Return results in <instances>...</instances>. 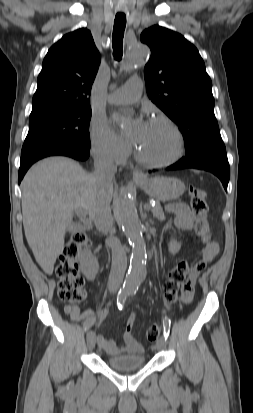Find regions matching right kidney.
I'll return each mask as SVG.
<instances>
[{
  "label": "right kidney",
  "mask_w": 253,
  "mask_h": 413,
  "mask_svg": "<svg viewBox=\"0 0 253 413\" xmlns=\"http://www.w3.org/2000/svg\"><path fill=\"white\" fill-rule=\"evenodd\" d=\"M80 267L82 273L88 280H94L99 270L98 261L89 250H84L81 253Z\"/></svg>",
  "instance_id": "1"
}]
</instances>
